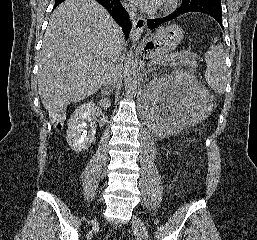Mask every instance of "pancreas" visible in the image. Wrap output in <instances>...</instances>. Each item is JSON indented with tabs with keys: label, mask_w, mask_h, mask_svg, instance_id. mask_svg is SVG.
Here are the masks:
<instances>
[{
	"label": "pancreas",
	"mask_w": 257,
	"mask_h": 240,
	"mask_svg": "<svg viewBox=\"0 0 257 240\" xmlns=\"http://www.w3.org/2000/svg\"><path fill=\"white\" fill-rule=\"evenodd\" d=\"M170 57L171 59L167 60L170 66H176V65H185L188 66L189 69L195 70L197 67L196 61H194L190 56H188L186 53L182 52H176L172 53L168 56H165L163 58ZM165 63V62H163Z\"/></svg>",
	"instance_id": "pancreas-1"
}]
</instances>
